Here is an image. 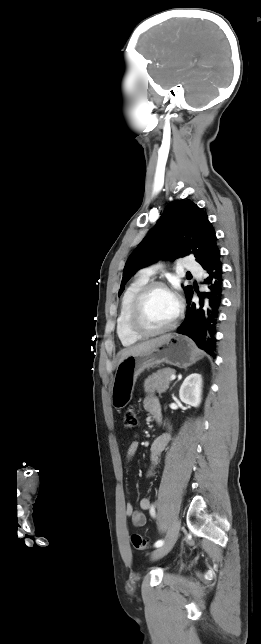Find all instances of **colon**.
<instances>
[{
    "label": "colon",
    "instance_id": "5ec220e1",
    "mask_svg": "<svg viewBox=\"0 0 261 644\" xmlns=\"http://www.w3.org/2000/svg\"><path fill=\"white\" fill-rule=\"evenodd\" d=\"M137 412L134 408H128L124 413L123 425L126 429H133L137 425ZM131 542L135 549L145 550L148 547V540L139 534L131 536Z\"/></svg>",
    "mask_w": 261,
    "mask_h": 644
}]
</instances>
